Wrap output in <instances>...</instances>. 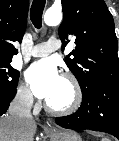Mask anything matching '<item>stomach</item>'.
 <instances>
[{"instance_id": "stomach-1", "label": "stomach", "mask_w": 119, "mask_h": 141, "mask_svg": "<svg viewBox=\"0 0 119 141\" xmlns=\"http://www.w3.org/2000/svg\"><path fill=\"white\" fill-rule=\"evenodd\" d=\"M51 141H82L81 137L74 131H61L51 134Z\"/></svg>"}]
</instances>
